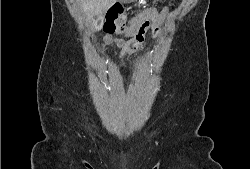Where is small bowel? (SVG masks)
<instances>
[{
  "label": "small bowel",
  "instance_id": "c3829d8e",
  "mask_svg": "<svg viewBox=\"0 0 250 169\" xmlns=\"http://www.w3.org/2000/svg\"><path fill=\"white\" fill-rule=\"evenodd\" d=\"M139 22V19L135 18L130 27H128L124 32L126 36H132L134 35V31L137 27V24ZM113 40V38L111 36H106L105 39H104V44H109L111 43ZM116 42L121 45L122 49H121V52H120V60H121V63L123 65H126L125 63V60H124V57L132 52H135L139 47L140 45H136L133 41V39H130V40H125V39H116Z\"/></svg>",
  "mask_w": 250,
  "mask_h": 169
}]
</instances>
